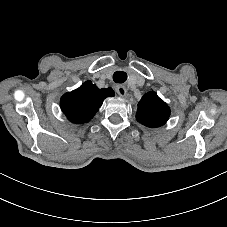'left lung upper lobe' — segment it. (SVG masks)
<instances>
[{
	"label": "left lung upper lobe",
	"mask_w": 227,
	"mask_h": 227,
	"mask_svg": "<svg viewBox=\"0 0 227 227\" xmlns=\"http://www.w3.org/2000/svg\"><path fill=\"white\" fill-rule=\"evenodd\" d=\"M169 115V107L153 91L145 94L138 103L136 119L145 126H162L167 122Z\"/></svg>",
	"instance_id": "5c2ea615"
}]
</instances>
